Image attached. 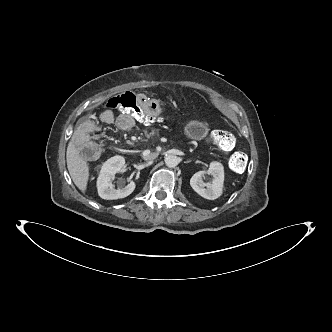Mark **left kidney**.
I'll list each match as a JSON object with an SVG mask.
<instances>
[{"label": "left kidney", "instance_id": "5707ae66", "mask_svg": "<svg viewBox=\"0 0 332 332\" xmlns=\"http://www.w3.org/2000/svg\"><path fill=\"white\" fill-rule=\"evenodd\" d=\"M205 174H210L213 177L211 182L204 183L203 178ZM224 183V168L219 162H212L208 171H199L195 173L190 179V185L203 198L215 200L222 194Z\"/></svg>", "mask_w": 332, "mask_h": 332}]
</instances>
